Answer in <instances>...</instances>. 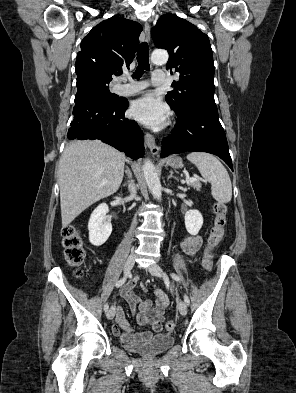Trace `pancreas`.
Wrapping results in <instances>:
<instances>
[{
	"instance_id": "obj_1",
	"label": "pancreas",
	"mask_w": 296,
	"mask_h": 393,
	"mask_svg": "<svg viewBox=\"0 0 296 393\" xmlns=\"http://www.w3.org/2000/svg\"><path fill=\"white\" fill-rule=\"evenodd\" d=\"M187 185L193 187V188L196 189L197 191H199L200 188H201V186H202L200 180L193 181V182L187 181Z\"/></svg>"
}]
</instances>
